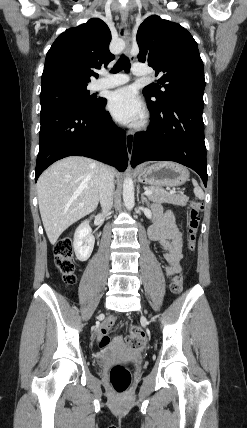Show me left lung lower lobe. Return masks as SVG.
Wrapping results in <instances>:
<instances>
[{"label": "left lung lower lobe", "mask_w": 247, "mask_h": 428, "mask_svg": "<svg viewBox=\"0 0 247 428\" xmlns=\"http://www.w3.org/2000/svg\"><path fill=\"white\" fill-rule=\"evenodd\" d=\"M151 124L135 135L131 165L145 161L168 160L196 171L207 185L203 105L179 99L161 110L147 104Z\"/></svg>", "instance_id": "1"}]
</instances>
